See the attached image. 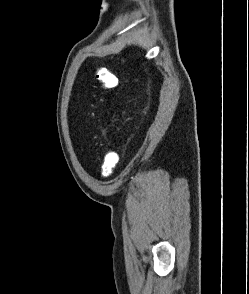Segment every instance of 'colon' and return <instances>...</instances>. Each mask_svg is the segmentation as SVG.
<instances>
[{
  "instance_id": "colon-1",
  "label": "colon",
  "mask_w": 249,
  "mask_h": 294,
  "mask_svg": "<svg viewBox=\"0 0 249 294\" xmlns=\"http://www.w3.org/2000/svg\"><path fill=\"white\" fill-rule=\"evenodd\" d=\"M107 75H111V76H107ZM97 77H98L97 79L99 81L101 88L104 90L114 89L119 82L118 77L112 73H109V74L100 73V75L98 74ZM118 160H119V155L117 153L115 152L109 153L104 159L101 175L103 177L110 176L115 166L117 165Z\"/></svg>"
}]
</instances>
